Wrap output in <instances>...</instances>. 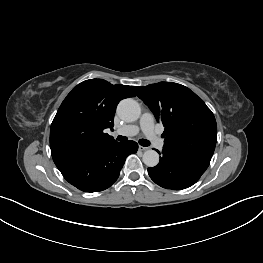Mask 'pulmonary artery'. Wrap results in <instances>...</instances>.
Returning <instances> with one entry per match:
<instances>
[{
	"label": "pulmonary artery",
	"mask_w": 263,
	"mask_h": 263,
	"mask_svg": "<svg viewBox=\"0 0 263 263\" xmlns=\"http://www.w3.org/2000/svg\"><path fill=\"white\" fill-rule=\"evenodd\" d=\"M139 130L147 136V138L154 144L157 148H162L164 145L163 140L156 134L154 129V117L150 112H145L140 118L139 126L129 125L120 128L116 131L120 135H136Z\"/></svg>",
	"instance_id": "e3ab8cb5"
}]
</instances>
